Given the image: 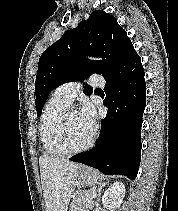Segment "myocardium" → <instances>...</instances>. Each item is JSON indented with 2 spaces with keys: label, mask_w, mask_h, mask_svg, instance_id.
Masks as SVG:
<instances>
[{
  "label": "myocardium",
  "mask_w": 178,
  "mask_h": 211,
  "mask_svg": "<svg viewBox=\"0 0 178 211\" xmlns=\"http://www.w3.org/2000/svg\"><path fill=\"white\" fill-rule=\"evenodd\" d=\"M71 112H77V111L67 110L62 116L58 142L65 154H78V153L88 150L94 145L96 137H97V130L95 128L93 129L92 136L85 145L76 149L71 148L68 142V118Z\"/></svg>",
  "instance_id": "f54148a6"
}]
</instances>
